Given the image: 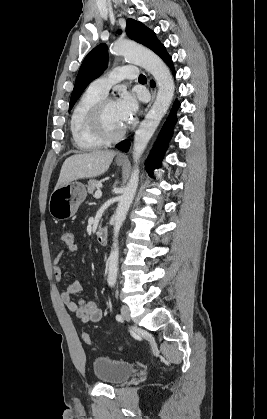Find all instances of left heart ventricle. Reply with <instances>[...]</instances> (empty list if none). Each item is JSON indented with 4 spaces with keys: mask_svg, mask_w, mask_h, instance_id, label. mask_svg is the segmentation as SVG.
Instances as JSON below:
<instances>
[{
    "mask_svg": "<svg viewBox=\"0 0 267 419\" xmlns=\"http://www.w3.org/2000/svg\"><path fill=\"white\" fill-rule=\"evenodd\" d=\"M104 124L110 133H117L126 126L121 118L116 101L107 105L104 112Z\"/></svg>",
    "mask_w": 267,
    "mask_h": 419,
    "instance_id": "b2bd125f",
    "label": "left heart ventricle"
}]
</instances>
